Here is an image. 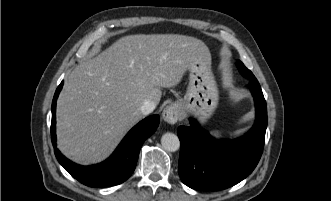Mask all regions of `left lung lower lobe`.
Returning <instances> with one entry per match:
<instances>
[{
  "label": "left lung lower lobe",
  "mask_w": 331,
  "mask_h": 201,
  "mask_svg": "<svg viewBox=\"0 0 331 201\" xmlns=\"http://www.w3.org/2000/svg\"><path fill=\"white\" fill-rule=\"evenodd\" d=\"M256 106V121L242 138L218 142L195 120L180 126L178 173L182 182L195 190L216 191L245 179L257 166L265 141L267 107L257 79H250Z\"/></svg>",
  "instance_id": "left-lung-lower-lobe-1"
}]
</instances>
